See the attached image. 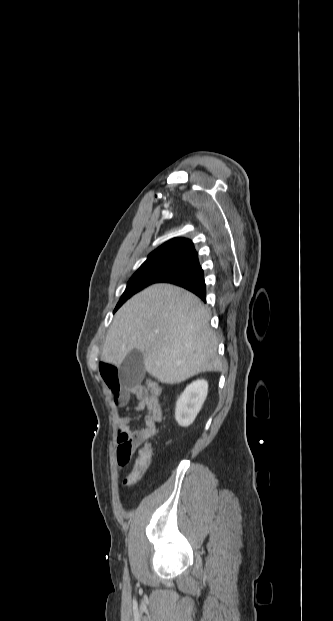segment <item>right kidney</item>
<instances>
[{
	"label": "right kidney",
	"mask_w": 333,
	"mask_h": 621,
	"mask_svg": "<svg viewBox=\"0 0 333 621\" xmlns=\"http://www.w3.org/2000/svg\"><path fill=\"white\" fill-rule=\"evenodd\" d=\"M208 392V383L200 379L192 382L186 387L178 398L175 409V419L182 427H187L193 423L199 413Z\"/></svg>",
	"instance_id": "right-kidney-1"
}]
</instances>
